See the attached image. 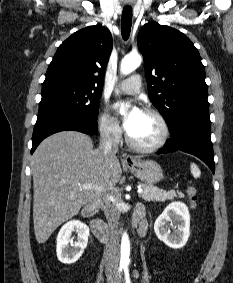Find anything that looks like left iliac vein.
Masks as SVG:
<instances>
[{
  "label": "left iliac vein",
  "instance_id": "obj_1",
  "mask_svg": "<svg viewBox=\"0 0 233 283\" xmlns=\"http://www.w3.org/2000/svg\"><path fill=\"white\" fill-rule=\"evenodd\" d=\"M120 281H121V283H124V279H123L122 276L120 277Z\"/></svg>",
  "mask_w": 233,
  "mask_h": 283
}]
</instances>
